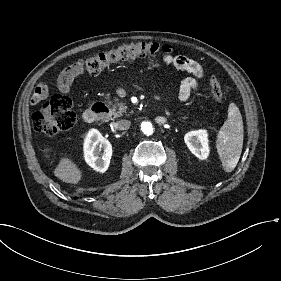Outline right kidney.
<instances>
[{"instance_id":"ca27d5eb","label":"right kidney","mask_w":281,"mask_h":281,"mask_svg":"<svg viewBox=\"0 0 281 281\" xmlns=\"http://www.w3.org/2000/svg\"><path fill=\"white\" fill-rule=\"evenodd\" d=\"M101 149H103L102 154H100ZM83 151L85 162L95 171L104 173L108 169L112 145L97 129L92 128L85 135Z\"/></svg>"}]
</instances>
